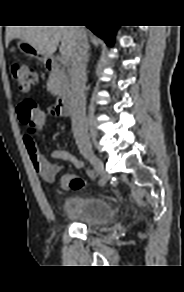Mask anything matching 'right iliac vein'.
<instances>
[{"instance_id":"1","label":"right iliac vein","mask_w":184,"mask_h":292,"mask_svg":"<svg viewBox=\"0 0 184 292\" xmlns=\"http://www.w3.org/2000/svg\"><path fill=\"white\" fill-rule=\"evenodd\" d=\"M85 157L93 165L94 169L100 176V184L104 185L107 182L109 175L105 171L102 161L94 154H86Z\"/></svg>"}]
</instances>
